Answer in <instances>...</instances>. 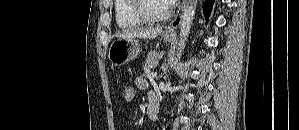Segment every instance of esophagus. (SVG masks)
<instances>
[{
    "label": "esophagus",
    "mask_w": 299,
    "mask_h": 130,
    "mask_svg": "<svg viewBox=\"0 0 299 130\" xmlns=\"http://www.w3.org/2000/svg\"><path fill=\"white\" fill-rule=\"evenodd\" d=\"M186 0H183L181 5L178 8L177 14L173 21L170 23V25L166 29V33H174L175 29L181 24L183 19V11L186 5Z\"/></svg>",
    "instance_id": "obj_1"
}]
</instances>
